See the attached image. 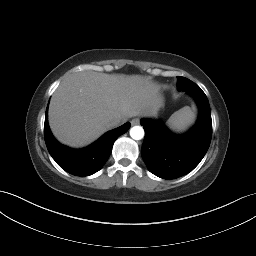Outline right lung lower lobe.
<instances>
[{"mask_svg":"<svg viewBox=\"0 0 256 256\" xmlns=\"http://www.w3.org/2000/svg\"><path fill=\"white\" fill-rule=\"evenodd\" d=\"M130 123L105 133L92 145L75 150L60 144L51 134L47 119L44 124V137L47 149L56 163L75 176H89L99 171L109 158L115 140L128 131Z\"/></svg>","mask_w":256,"mask_h":256,"instance_id":"obj_1","label":"right lung lower lobe"}]
</instances>
